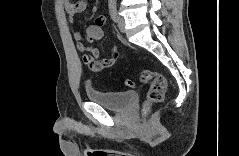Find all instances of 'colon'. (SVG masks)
I'll return each mask as SVG.
<instances>
[{
  "label": "colon",
  "mask_w": 239,
  "mask_h": 156,
  "mask_svg": "<svg viewBox=\"0 0 239 156\" xmlns=\"http://www.w3.org/2000/svg\"><path fill=\"white\" fill-rule=\"evenodd\" d=\"M140 81L143 83L150 82L145 104L146 109H148L150 105L159 103L163 100L167 81L162 74L150 70H142L140 72ZM124 85L128 88H132L134 87V81L128 79L124 82Z\"/></svg>",
  "instance_id": "1"
}]
</instances>
